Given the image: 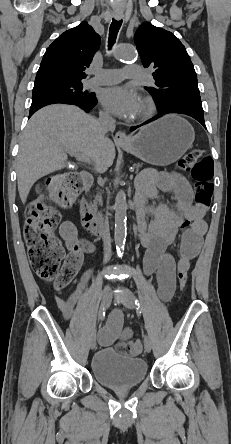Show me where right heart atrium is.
Segmentation results:
<instances>
[{"mask_svg": "<svg viewBox=\"0 0 231 444\" xmlns=\"http://www.w3.org/2000/svg\"><path fill=\"white\" fill-rule=\"evenodd\" d=\"M104 116H106V117H107V116H108V115H107V113H104Z\"/></svg>", "mask_w": 231, "mask_h": 444, "instance_id": "obj_1", "label": "right heart atrium"}]
</instances>
